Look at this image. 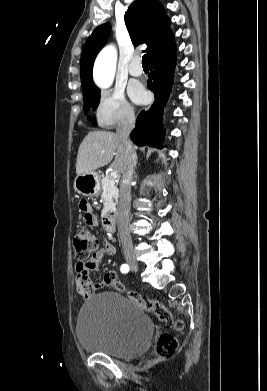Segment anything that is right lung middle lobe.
<instances>
[{"label": "right lung middle lobe", "mask_w": 267, "mask_h": 391, "mask_svg": "<svg viewBox=\"0 0 267 391\" xmlns=\"http://www.w3.org/2000/svg\"><path fill=\"white\" fill-rule=\"evenodd\" d=\"M84 96V111H88L90 108L96 109L100 100V90L95 88L90 91L83 92Z\"/></svg>", "instance_id": "right-lung-middle-lobe-1"}]
</instances>
